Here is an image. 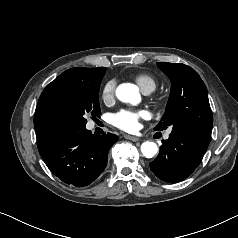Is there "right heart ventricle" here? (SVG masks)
Returning <instances> with one entry per match:
<instances>
[{"instance_id": "obj_1", "label": "right heart ventricle", "mask_w": 238, "mask_h": 238, "mask_svg": "<svg viewBox=\"0 0 238 238\" xmlns=\"http://www.w3.org/2000/svg\"><path fill=\"white\" fill-rule=\"evenodd\" d=\"M134 80L143 92H152L157 86L155 77L149 73H137L134 75Z\"/></svg>"}]
</instances>
